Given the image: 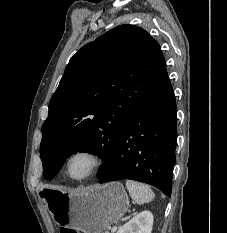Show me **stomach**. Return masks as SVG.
Wrapping results in <instances>:
<instances>
[{"instance_id":"stomach-1","label":"stomach","mask_w":227,"mask_h":233,"mask_svg":"<svg viewBox=\"0 0 227 233\" xmlns=\"http://www.w3.org/2000/svg\"><path fill=\"white\" fill-rule=\"evenodd\" d=\"M47 207L55 222L63 228L84 233H102L117 222L129 208V198L122 184L112 182L82 192L60 188L45 189Z\"/></svg>"}]
</instances>
